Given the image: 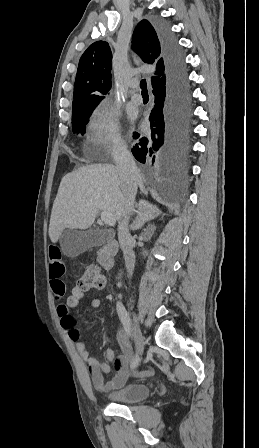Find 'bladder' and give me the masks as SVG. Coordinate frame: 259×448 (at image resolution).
<instances>
[{
	"label": "bladder",
	"mask_w": 259,
	"mask_h": 448,
	"mask_svg": "<svg viewBox=\"0 0 259 448\" xmlns=\"http://www.w3.org/2000/svg\"><path fill=\"white\" fill-rule=\"evenodd\" d=\"M150 394V387L146 384H128L119 389L109 391L105 397L115 403H138Z\"/></svg>",
	"instance_id": "31cf9c89"
}]
</instances>
